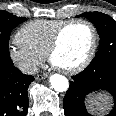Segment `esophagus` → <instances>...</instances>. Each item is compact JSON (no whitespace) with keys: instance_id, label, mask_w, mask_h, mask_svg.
Here are the masks:
<instances>
[{"instance_id":"obj_1","label":"esophagus","mask_w":116,"mask_h":116,"mask_svg":"<svg viewBox=\"0 0 116 116\" xmlns=\"http://www.w3.org/2000/svg\"><path fill=\"white\" fill-rule=\"evenodd\" d=\"M49 76L48 73H43V74H39L36 76V80H42V79H45Z\"/></svg>"}]
</instances>
